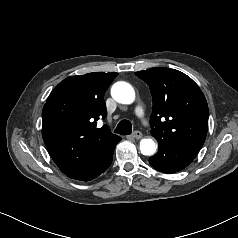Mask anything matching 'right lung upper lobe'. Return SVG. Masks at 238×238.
<instances>
[{"mask_svg":"<svg viewBox=\"0 0 238 238\" xmlns=\"http://www.w3.org/2000/svg\"><path fill=\"white\" fill-rule=\"evenodd\" d=\"M117 73L71 76L51 92L42 111V136L56 165L68 177L86 180L121 140L107 125L104 94Z\"/></svg>","mask_w":238,"mask_h":238,"instance_id":"cb5924a9","label":"right lung upper lobe"}]
</instances>
